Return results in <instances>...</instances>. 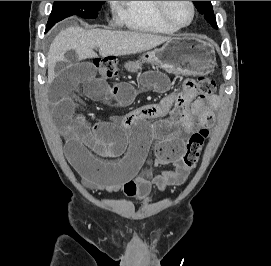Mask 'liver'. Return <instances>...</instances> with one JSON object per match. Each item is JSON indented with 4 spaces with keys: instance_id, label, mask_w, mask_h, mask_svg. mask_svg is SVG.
I'll list each match as a JSON object with an SVG mask.
<instances>
[{
    "instance_id": "obj_1",
    "label": "liver",
    "mask_w": 271,
    "mask_h": 266,
    "mask_svg": "<svg viewBox=\"0 0 271 266\" xmlns=\"http://www.w3.org/2000/svg\"><path fill=\"white\" fill-rule=\"evenodd\" d=\"M171 37L142 32L84 30L78 26L60 32L48 52V84L55 77V62L65 61V53L73 50L79 60L94 58V48H99L102 57L123 56L151 50L171 40Z\"/></svg>"
}]
</instances>
